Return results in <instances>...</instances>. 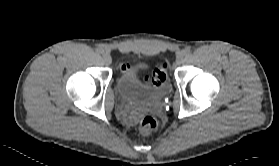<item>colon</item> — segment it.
Masks as SVG:
<instances>
[{
    "instance_id": "5ec220e1",
    "label": "colon",
    "mask_w": 279,
    "mask_h": 166,
    "mask_svg": "<svg viewBox=\"0 0 279 166\" xmlns=\"http://www.w3.org/2000/svg\"><path fill=\"white\" fill-rule=\"evenodd\" d=\"M143 79L150 86H161L166 81V65H159L152 76H146ZM157 125V120L153 116L147 115L141 119L138 129L141 134L146 135L153 132Z\"/></svg>"
}]
</instances>
